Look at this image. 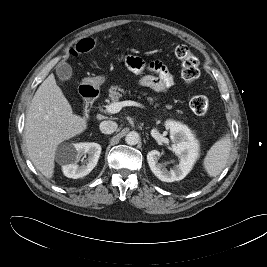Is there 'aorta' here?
<instances>
[{
  "label": "aorta",
  "instance_id": "762f6f07",
  "mask_svg": "<svg viewBox=\"0 0 267 267\" xmlns=\"http://www.w3.org/2000/svg\"><path fill=\"white\" fill-rule=\"evenodd\" d=\"M140 136L136 131L129 132L126 137L125 141L128 145H136L139 142Z\"/></svg>",
  "mask_w": 267,
  "mask_h": 267
}]
</instances>
